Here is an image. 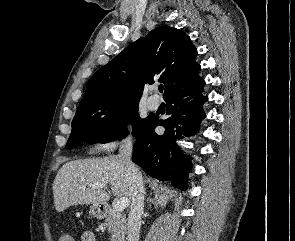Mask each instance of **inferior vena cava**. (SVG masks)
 <instances>
[{"label": "inferior vena cava", "instance_id": "602c4592", "mask_svg": "<svg viewBox=\"0 0 295 241\" xmlns=\"http://www.w3.org/2000/svg\"><path fill=\"white\" fill-rule=\"evenodd\" d=\"M132 150V141L131 139H127L121 144L118 157L126 165L132 183L131 207L128 215L127 239L128 241H138L141 228V216L143 214L144 207L145 190L142 174L131 161Z\"/></svg>", "mask_w": 295, "mask_h": 241}]
</instances>
